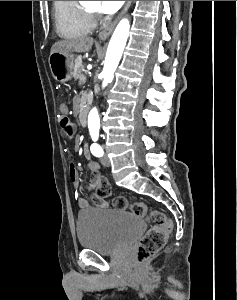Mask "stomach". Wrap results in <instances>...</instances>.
<instances>
[{"mask_svg":"<svg viewBox=\"0 0 237 300\" xmlns=\"http://www.w3.org/2000/svg\"><path fill=\"white\" fill-rule=\"evenodd\" d=\"M49 67L52 77L58 83L71 81L73 77L74 55H71V53H51Z\"/></svg>","mask_w":237,"mask_h":300,"instance_id":"obj_1","label":"stomach"}]
</instances>
